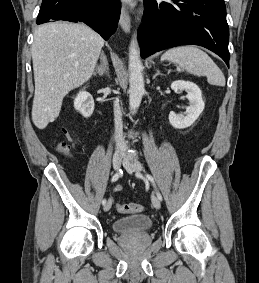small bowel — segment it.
Listing matches in <instances>:
<instances>
[{
  "label": "small bowel",
  "instance_id": "obj_1",
  "mask_svg": "<svg viewBox=\"0 0 259 283\" xmlns=\"http://www.w3.org/2000/svg\"><path fill=\"white\" fill-rule=\"evenodd\" d=\"M114 190H116V191L121 190V186H119V185L115 186Z\"/></svg>",
  "mask_w": 259,
  "mask_h": 283
}]
</instances>
